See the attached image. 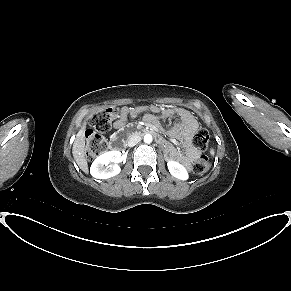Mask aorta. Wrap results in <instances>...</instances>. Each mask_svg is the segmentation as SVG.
I'll list each match as a JSON object with an SVG mask.
<instances>
[{
  "label": "aorta",
  "instance_id": "762f6f07",
  "mask_svg": "<svg viewBox=\"0 0 291 291\" xmlns=\"http://www.w3.org/2000/svg\"><path fill=\"white\" fill-rule=\"evenodd\" d=\"M152 140H153V137H152L151 134H146V135L144 136V142H145V143L149 144V143L152 142Z\"/></svg>",
  "mask_w": 291,
  "mask_h": 291
}]
</instances>
